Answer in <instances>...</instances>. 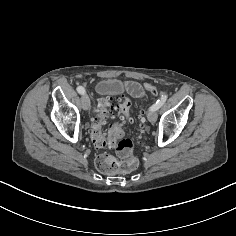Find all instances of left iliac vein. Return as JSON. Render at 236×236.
<instances>
[{
	"mask_svg": "<svg viewBox=\"0 0 236 236\" xmlns=\"http://www.w3.org/2000/svg\"><path fill=\"white\" fill-rule=\"evenodd\" d=\"M157 117H158V115H157L156 111L150 110L148 112L147 118L150 122L154 123L157 120Z\"/></svg>",
	"mask_w": 236,
	"mask_h": 236,
	"instance_id": "obj_1",
	"label": "left iliac vein"
}]
</instances>
